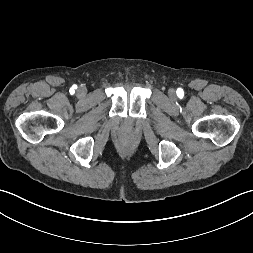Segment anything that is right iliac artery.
Segmentation results:
<instances>
[{"mask_svg": "<svg viewBox=\"0 0 253 253\" xmlns=\"http://www.w3.org/2000/svg\"><path fill=\"white\" fill-rule=\"evenodd\" d=\"M75 89H76V86H72L71 89H70V93L73 94L75 92Z\"/></svg>", "mask_w": 253, "mask_h": 253, "instance_id": "1", "label": "right iliac artery"}]
</instances>
